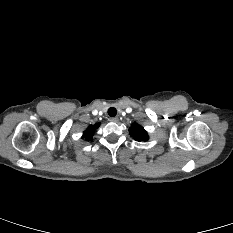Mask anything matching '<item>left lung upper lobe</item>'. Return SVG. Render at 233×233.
<instances>
[{"mask_svg": "<svg viewBox=\"0 0 233 233\" xmlns=\"http://www.w3.org/2000/svg\"><path fill=\"white\" fill-rule=\"evenodd\" d=\"M129 132L136 141H147L149 139L147 132L137 123L132 125V127L129 129Z\"/></svg>", "mask_w": 233, "mask_h": 233, "instance_id": "5c2ea615", "label": "left lung upper lobe"}]
</instances>
